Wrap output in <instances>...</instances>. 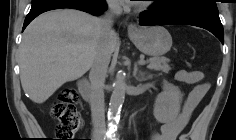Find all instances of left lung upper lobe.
<instances>
[{
  "instance_id": "left-lung-upper-lobe-1",
  "label": "left lung upper lobe",
  "mask_w": 236,
  "mask_h": 140,
  "mask_svg": "<svg viewBox=\"0 0 236 140\" xmlns=\"http://www.w3.org/2000/svg\"><path fill=\"white\" fill-rule=\"evenodd\" d=\"M154 7H161L165 11L178 9H197L218 13L216 0H158Z\"/></svg>"
}]
</instances>
